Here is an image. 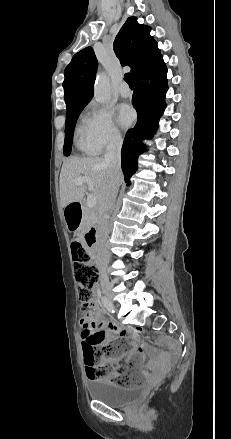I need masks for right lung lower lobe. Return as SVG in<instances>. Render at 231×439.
I'll list each match as a JSON object with an SVG mask.
<instances>
[{
    "instance_id": "obj_1",
    "label": "right lung lower lobe",
    "mask_w": 231,
    "mask_h": 439,
    "mask_svg": "<svg viewBox=\"0 0 231 439\" xmlns=\"http://www.w3.org/2000/svg\"><path fill=\"white\" fill-rule=\"evenodd\" d=\"M167 68L161 56L150 68L134 77L135 91L132 104L138 113L134 128L126 133L122 150L121 165L125 182L130 185V177L137 170L138 155L146 150L143 139H149L158 128V121L165 109Z\"/></svg>"
}]
</instances>
